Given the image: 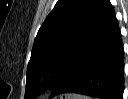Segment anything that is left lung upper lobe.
Wrapping results in <instances>:
<instances>
[{"label": "left lung upper lobe", "mask_w": 128, "mask_h": 99, "mask_svg": "<svg viewBox=\"0 0 128 99\" xmlns=\"http://www.w3.org/2000/svg\"><path fill=\"white\" fill-rule=\"evenodd\" d=\"M109 0H58L35 38L25 99L53 88L64 66L95 29Z\"/></svg>", "instance_id": "1"}]
</instances>
